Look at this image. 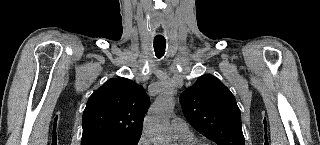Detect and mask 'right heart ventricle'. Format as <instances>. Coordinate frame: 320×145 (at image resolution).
Wrapping results in <instances>:
<instances>
[{
	"instance_id": "1",
	"label": "right heart ventricle",
	"mask_w": 320,
	"mask_h": 145,
	"mask_svg": "<svg viewBox=\"0 0 320 145\" xmlns=\"http://www.w3.org/2000/svg\"><path fill=\"white\" fill-rule=\"evenodd\" d=\"M174 138L181 145H186V144H188V143L193 141V136L192 135H188V136H184V137L174 136Z\"/></svg>"
}]
</instances>
